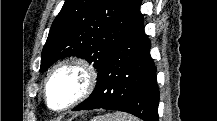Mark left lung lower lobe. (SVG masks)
Listing matches in <instances>:
<instances>
[{
    "instance_id": "left-lung-lower-lobe-1",
    "label": "left lung lower lobe",
    "mask_w": 217,
    "mask_h": 121,
    "mask_svg": "<svg viewBox=\"0 0 217 121\" xmlns=\"http://www.w3.org/2000/svg\"><path fill=\"white\" fill-rule=\"evenodd\" d=\"M150 47L139 9L128 31L98 71L94 91L73 110L113 109L144 121H158L160 95Z\"/></svg>"
}]
</instances>
